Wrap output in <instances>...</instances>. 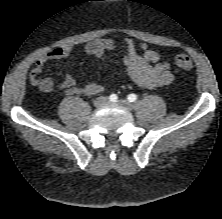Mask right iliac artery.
Listing matches in <instances>:
<instances>
[{
	"label": "right iliac artery",
	"instance_id": "obj_1",
	"mask_svg": "<svg viewBox=\"0 0 222 219\" xmlns=\"http://www.w3.org/2000/svg\"><path fill=\"white\" fill-rule=\"evenodd\" d=\"M109 99H110L111 102H116L118 97H117L116 94H112V95H110Z\"/></svg>",
	"mask_w": 222,
	"mask_h": 219
}]
</instances>
